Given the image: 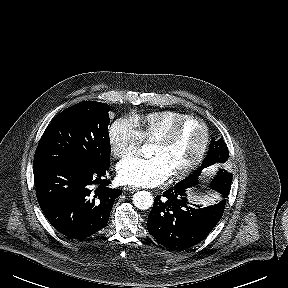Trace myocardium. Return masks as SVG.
<instances>
[{
    "label": "myocardium",
    "mask_w": 288,
    "mask_h": 288,
    "mask_svg": "<svg viewBox=\"0 0 288 288\" xmlns=\"http://www.w3.org/2000/svg\"><path fill=\"white\" fill-rule=\"evenodd\" d=\"M189 122H196L200 124L203 128L204 139L201 149L197 155V157L182 171L178 173L171 174V179L174 181H180L188 177L193 171L197 169V167L202 163L207 153L210 144V130L207 123L197 116L189 115L173 125H171L164 133H162L159 137L154 140V143L167 145L170 144L178 132Z\"/></svg>",
    "instance_id": "myocardium-1"
}]
</instances>
